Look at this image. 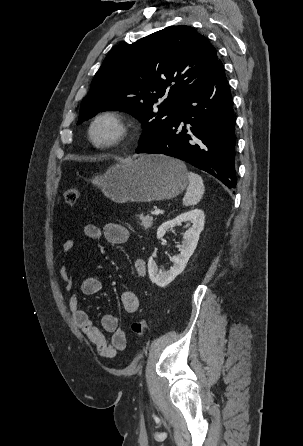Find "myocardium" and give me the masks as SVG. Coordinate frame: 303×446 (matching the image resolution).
Wrapping results in <instances>:
<instances>
[{
    "label": "myocardium",
    "mask_w": 303,
    "mask_h": 446,
    "mask_svg": "<svg viewBox=\"0 0 303 446\" xmlns=\"http://www.w3.org/2000/svg\"><path fill=\"white\" fill-rule=\"evenodd\" d=\"M100 122H108L112 125L114 133L108 140L98 142L94 139V128ZM131 133V125L127 117L120 111L107 109L100 111L92 117L87 127V139L96 149H109L116 147L126 141Z\"/></svg>",
    "instance_id": "1"
}]
</instances>
